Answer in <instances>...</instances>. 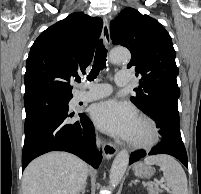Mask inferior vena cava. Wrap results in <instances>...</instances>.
I'll return each instance as SVG.
<instances>
[{
	"label": "inferior vena cava",
	"instance_id": "inferior-vena-cava-1",
	"mask_svg": "<svg viewBox=\"0 0 201 194\" xmlns=\"http://www.w3.org/2000/svg\"><path fill=\"white\" fill-rule=\"evenodd\" d=\"M100 143H101V142H100L99 140H97V145H98V146L100 145Z\"/></svg>",
	"mask_w": 201,
	"mask_h": 194
}]
</instances>
